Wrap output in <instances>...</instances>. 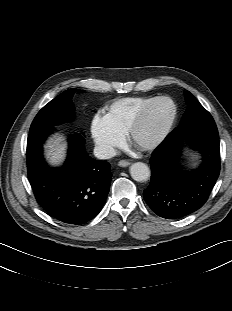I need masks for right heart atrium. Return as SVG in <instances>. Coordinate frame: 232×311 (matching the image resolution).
Listing matches in <instances>:
<instances>
[{"instance_id":"right-heart-atrium-1","label":"right heart atrium","mask_w":232,"mask_h":311,"mask_svg":"<svg viewBox=\"0 0 232 311\" xmlns=\"http://www.w3.org/2000/svg\"><path fill=\"white\" fill-rule=\"evenodd\" d=\"M90 132L96 147L105 156L113 155L123 142L122 135L111 128L104 116L93 117Z\"/></svg>"}]
</instances>
